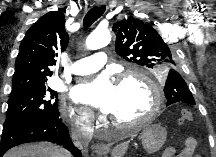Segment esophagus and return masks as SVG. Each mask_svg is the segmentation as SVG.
<instances>
[{
  "mask_svg": "<svg viewBox=\"0 0 216 157\" xmlns=\"http://www.w3.org/2000/svg\"><path fill=\"white\" fill-rule=\"evenodd\" d=\"M104 3H105L104 0H97V2H96L97 5H103ZM91 148L94 151H103V150H105L106 147L104 145H101V144H92Z\"/></svg>",
  "mask_w": 216,
  "mask_h": 157,
  "instance_id": "obj_1",
  "label": "esophagus"
}]
</instances>
